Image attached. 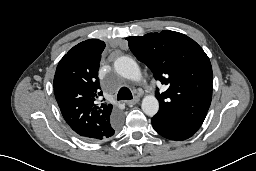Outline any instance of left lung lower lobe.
I'll return each mask as SVG.
<instances>
[{
	"mask_svg": "<svg viewBox=\"0 0 256 171\" xmlns=\"http://www.w3.org/2000/svg\"><path fill=\"white\" fill-rule=\"evenodd\" d=\"M155 131L165 138L181 141L190 138L195 132L186 130L178 120L171 115L156 114L151 119Z\"/></svg>",
	"mask_w": 256,
	"mask_h": 171,
	"instance_id": "0a47b994",
	"label": "left lung lower lobe"
}]
</instances>
